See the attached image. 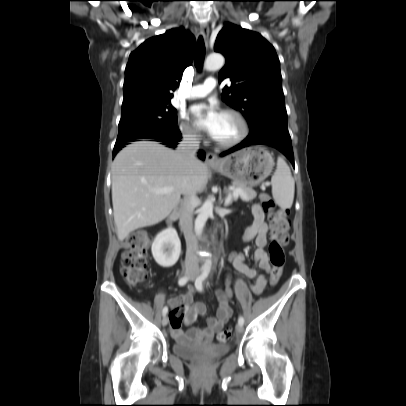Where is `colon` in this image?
<instances>
[{
    "label": "colon",
    "mask_w": 406,
    "mask_h": 406,
    "mask_svg": "<svg viewBox=\"0 0 406 406\" xmlns=\"http://www.w3.org/2000/svg\"><path fill=\"white\" fill-rule=\"evenodd\" d=\"M262 207L267 213L272 227L271 242L269 245V260L272 265L270 284L276 285L282 275L285 255L283 247L288 242L289 222L287 212L277 208L273 198L268 194L260 196ZM148 248V239L145 233L135 231L129 234L125 250L122 253L120 273L128 286L134 287L143 283L148 277V266L145 259ZM183 313L174 311L171 314V323L178 327ZM231 337L230 329L217 333L216 340L227 342Z\"/></svg>",
    "instance_id": "1"
}]
</instances>
